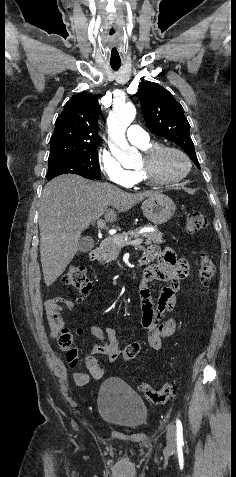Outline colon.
I'll return each mask as SVG.
<instances>
[{"mask_svg":"<svg viewBox=\"0 0 236 477\" xmlns=\"http://www.w3.org/2000/svg\"><path fill=\"white\" fill-rule=\"evenodd\" d=\"M208 227L207 217L197 211H189L186 218V229L189 234H196ZM214 263L210 257L203 255L200 260L199 277L204 289L209 287L214 274ZM177 270L180 274H186L187 268L183 263H178ZM65 284L73 291L86 295L91 288V280L87 275L86 269L82 265H72L64 276ZM59 343L68 349L67 361L74 367L79 361V351L74 342V336L67 329L62 328L59 334ZM140 351L138 343L127 345L121 357L123 361L133 360ZM177 385L174 381L166 382L162 387L156 388L150 384L142 383L139 385L141 393L155 404H164L174 398Z\"/></svg>","mask_w":236,"mask_h":477,"instance_id":"5ec220e1","label":"colon"}]
</instances>
